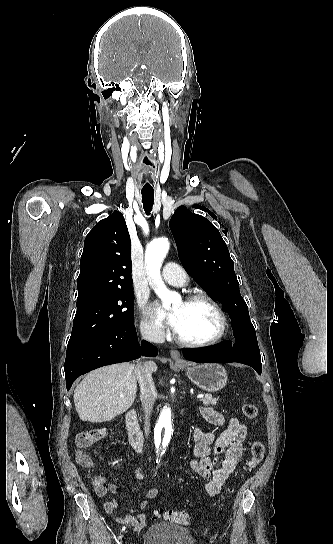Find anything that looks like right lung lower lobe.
<instances>
[{
	"mask_svg": "<svg viewBox=\"0 0 333 544\" xmlns=\"http://www.w3.org/2000/svg\"><path fill=\"white\" fill-rule=\"evenodd\" d=\"M157 354V348L149 342L142 340L139 345L134 323L125 325L67 351L64 365L67 390L80 375L93 369L131 361L141 355L151 357Z\"/></svg>",
	"mask_w": 333,
	"mask_h": 544,
	"instance_id": "1",
	"label": "right lung lower lobe"
}]
</instances>
